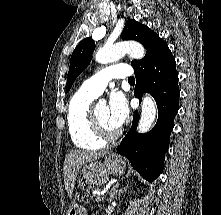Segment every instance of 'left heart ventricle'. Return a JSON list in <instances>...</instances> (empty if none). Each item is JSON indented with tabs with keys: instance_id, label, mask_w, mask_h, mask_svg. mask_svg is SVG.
I'll list each match as a JSON object with an SVG mask.
<instances>
[{
	"instance_id": "b2bd125f",
	"label": "left heart ventricle",
	"mask_w": 221,
	"mask_h": 215,
	"mask_svg": "<svg viewBox=\"0 0 221 215\" xmlns=\"http://www.w3.org/2000/svg\"><path fill=\"white\" fill-rule=\"evenodd\" d=\"M96 114L100 122L109 130H116L109 121L108 107L106 104H98L95 108Z\"/></svg>"
}]
</instances>
